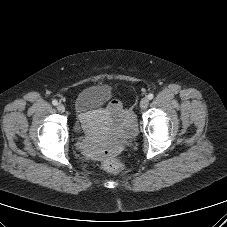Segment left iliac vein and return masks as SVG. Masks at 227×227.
Listing matches in <instances>:
<instances>
[{"instance_id": "obj_1", "label": "left iliac vein", "mask_w": 227, "mask_h": 227, "mask_svg": "<svg viewBox=\"0 0 227 227\" xmlns=\"http://www.w3.org/2000/svg\"><path fill=\"white\" fill-rule=\"evenodd\" d=\"M148 105H149V99L148 98H143L142 100H141V102H140V107L142 108V109H146L147 107H148Z\"/></svg>"}]
</instances>
